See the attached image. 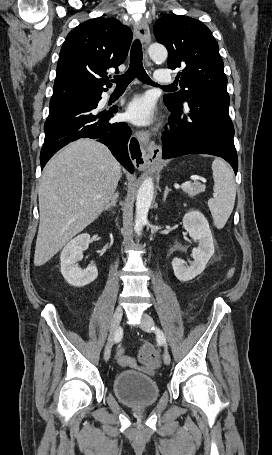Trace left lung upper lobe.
<instances>
[{"instance_id":"1","label":"left lung upper lobe","mask_w":272,"mask_h":455,"mask_svg":"<svg viewBox=\"0 0 272 455\" xmlns=\"http://www.w3.org/2000/svg\"><path fill=\"white\" fill-rule=\"evenodd\" d=\"M157 42L168 49V68H180L182 88L164 100L181 105L201 93H227V78L219 46L209 28L188 16L167 14L154 25Z\"/></svg>"}]
</instances>
